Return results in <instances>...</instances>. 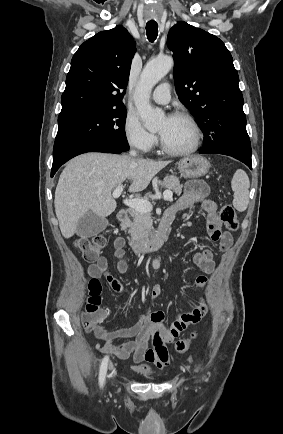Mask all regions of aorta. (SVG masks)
<instances>
[{
	"label": "aorta",
	"mask_w": 283,
	"mask_h": 434,
	"mask_svg": "<svg viewBox=\"0 0 283 434\" xmlns=\"http://www.w3.org/2000/svg\"><path fill=\"white\" fill-rule=\"evenodd\" d=\"M173 59L170 56L157 57L147 62L137 85L134 101L137 111L147 130L157 129L164 118L160 109L152 108L150 94L153 87L170 71Z\"/></svg>",
	"instance_id": "obj_1"
}]
</instances>
